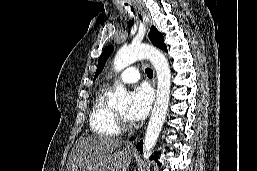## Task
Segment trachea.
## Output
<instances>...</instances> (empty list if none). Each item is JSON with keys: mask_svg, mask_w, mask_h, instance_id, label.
Returning a JSON list of instances; mask_svg holds the SVG:
<instances>
[{"mask_svg": "<svg viewBox=\"0 0 257 171\" xmlns=\"http://www.w3.org/2000/svg\"><path fill=\"white\" fill-rule=\"evenodd\" d=\"M131 11L134 12L133 7H131ZM146 74H147V76H148L149 78H152V77H153V71H152V69L146 68Z\"/></svg>", "mask_w": 257, "mask_h": 171, "instance_id": "obj_1", "label": "trachea"}]
</instances>
